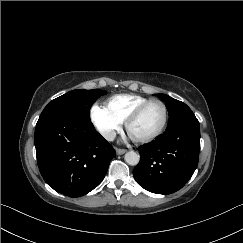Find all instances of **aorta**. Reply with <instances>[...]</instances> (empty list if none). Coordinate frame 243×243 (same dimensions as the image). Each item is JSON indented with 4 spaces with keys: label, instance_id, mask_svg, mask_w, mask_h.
I'll list each match as a JSON object with an SVG mask.
<instances>
[{
    "label": "aorta",
    "instance_id": "762f6f07",
    "mask_svg": "<svg viewBox=\"0 0 243 243\" xmlns=\"http://www.w3.org/2000/svg\"><path fill=\"white\" fill-rule=\"evenodd\" d=\"M124 159L127 164L134 166L139 163L140 156L135 151H129L125 154Z\"/></svg>",
    "mask_w": 243,
    "mask_h": 243
}]
</instances>
